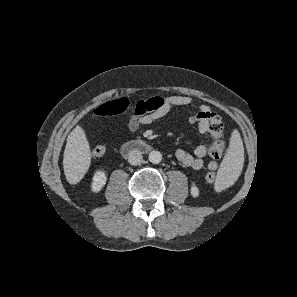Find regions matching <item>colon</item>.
<instances>
[{
  "instance_id": "1",
  "label": "colon",
  "mask_w": 297,
  "mask_h": 297,
  "mask_svg": "<svg viewBox=\"0 0 297 297\" xmlns=\"http://www.w3.org/2000/svg\"><path fill=\"white\" fill-rule=\"evenodd\" d=\"M129 107V102L126 98H118L100 105L95 109V114L98 116H114L124 113ZM149 108L146 100H141L134 105V113L141 115L144 114ZM210 143L208 146V154L212 159H219L225 149V141L223 139V121L219 114L214 113L211 115L209 121ZM105 153L104 146H96L93 149L95 157H101ZM207 183L214 184L216 180L215 173L209 172L205 177Z\"/></svg>"
}]
</instances>
